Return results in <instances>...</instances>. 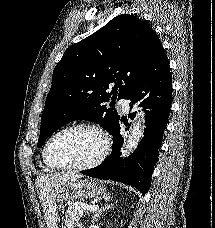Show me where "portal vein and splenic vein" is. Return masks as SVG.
<instances>
[{"instance_id": "obj_1", "label": "portal vein and splenic vein", "mask_w": 215, "mask_h": 228, "mask_svg": "<svg viewBox=\"0 0 215 228\" xmlns=\"http://www.w3.org/2000/svg\"><path fill=\"white\" fill-rule=\"evenodd\" d=\"M75 210H78V212H81V210H89V212H96V210H99L97 206H86V204H75Z\"/></svg>"}]
</instances>
